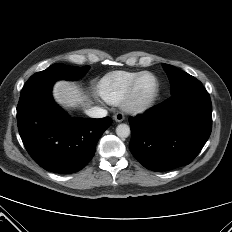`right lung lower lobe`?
<instances>
[{"label":"right lung lower lobe","mask_w":232,"mask_h":232,"mask_svg":"<svg viewBox=\"0 0 232 232\" xmlns=\"http://www.w3.org/2000/svg\"><path fill=\"white\" fill-rule=\"evenodd\" d=\"M53 83L21 93L18 130L33 160L46 170L70 174L87 165L96 144L112 124L102 119L68 116L52 99Z\"/></svg>","instance_id":"obj_1"}]
</instances>
